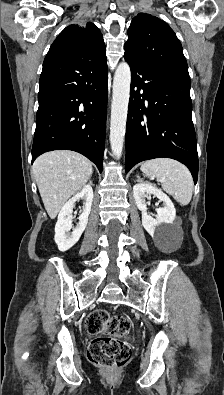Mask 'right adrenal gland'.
<instances>
[{"mask_svg":"<svg viewBox=\"0 0 224 395\" xmlns=\"http://www.w3.org/2000/svg\"><path fill=\"white\" fill-rule=\"evenodd\" d=\"M89 183H90V184H92V181H91V180H89Z\"/></svg>","mask_w":224,"mask_h":395,"instance_id":"2a0ac1e0","label":"right adrenal gland"}]
</instances>
